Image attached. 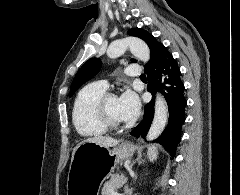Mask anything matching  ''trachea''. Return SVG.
<instances>
[{
    "label": "trachea",
    "instance_id": "1",
    "mask_svg": "<svg viewBox=\"0 0 240 195\" xmlns=\"http://www.w3.org/2000/svg\"><path fill=\"white\" fill-rule=\"evenodd\" d=\"M140 78L141 79H146V75L142 74V75H140Z\"/></svg>",
    "mask_w": 240,
    "mask_h": 195
}]
</instances>
